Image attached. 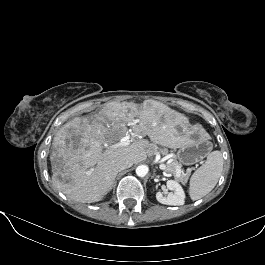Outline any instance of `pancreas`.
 <instances>
[{
	"instance_id": "1",
	"label": "pancreas",
	"mask_w": 265,
	"mask_h": 265,
	"mask_svg": "<svg viewBox=\"0 0 265 265\" xmlns=\"http://www.w3.org/2000/svg\"><path fill=\"white\" fill-rule=\"evenodd\" d=\"M162 154H167V150L166 149H162L161 150ZM182 165L181 163H179L177 160H173L171 163H169L167 165L166 171L169 173H172L175 177L176 180L178 181H186L188 179L189 173L188 172H184L181 169ZM180 170V176H177V171Z\"/></svg>"
}]
</instances>
